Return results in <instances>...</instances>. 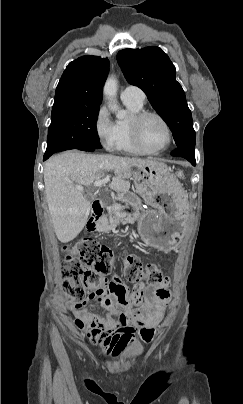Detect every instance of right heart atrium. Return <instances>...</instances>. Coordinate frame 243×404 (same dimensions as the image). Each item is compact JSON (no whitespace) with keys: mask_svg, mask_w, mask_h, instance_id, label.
I'll list each match as a JSON object with an SVG mask.
<instances>
[{"mask_svg":"<svg viewBox=\"0 0 243 404\" xmlns=\"http://www.w3.org/2000/svg\"><path fill=\"white\" fill-rule=\"evenodd\" d=\"M94 133L101 148L110 153L119 151L116 123L105 105H100L93 118Z\"/></svg>","mask_w":243,"mask_h":404,"instance_id":"obj_1","label":"right heart atrium"}]
</instances>
